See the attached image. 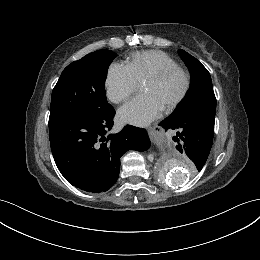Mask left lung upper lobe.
<instances>
[{
    "mask_svg": "<svg viewBox=\"0 0 260 260\" xmlns=\"http://www.w3.org/2000/svg\"><path fill=\"white\" fill-rule=\"evenodd\" d=\"M178 53L190 70L191 85L184 100L171 115L197 114L215 119L216 98L210 73L195 57L186 51L180 49Z\"/></svg>",
    "mask_w": 260,
    "mask_h": 260,
    "instance_id": "left-lung-upper-lobe-1",
    "label": "left lung upper lobe"
}]
</instances>
